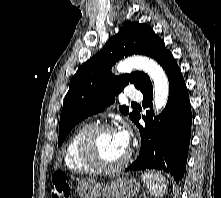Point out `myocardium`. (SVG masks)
Returning <instances> with one entry per match:
<instances>
[{"label": "myocardium", "instance_id": "f54148a6", "mask_svg": "<svg viewBox=\"0 0 221 198\" xmlns=\"http://www.w3.org/2000/svg\"><path fill=\"white\" fill-rule=\"evenodd\" d=\"M114 131V127L109 124H98L92 126L84 135L81 142V156L84 162L99 172H116L123 169L131 159V151L127 150L124 158L115 164H106L98 156L97 141L101 133Z\"/></svg>", "mask_w": 221, "mask_h": 198}]
</instances>
